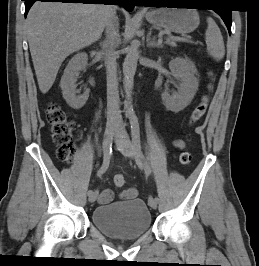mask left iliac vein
I'll return each instance as SVG.
<instances>
[{"instance_id": "4c4485c4", "label": "left iliac vein", "mask_w": 259, "mask_h": 266, "mask_svg": "<svg viewBox=\"0 0 259 266\" xmlns=\"http://www.w3.org/2000/svg\"><path fill=\"white\" fill-rule=\"evenodd\" d=\"M116 138H117V144L121 148V152L125 157L136 159V152L134 149V146L132 145L128 134L125 130L124 123L120 122L116 131ZM157 204L155 203V199L149 201V206L153 209L157 208Z\"/></svg>"}]
</instances>
